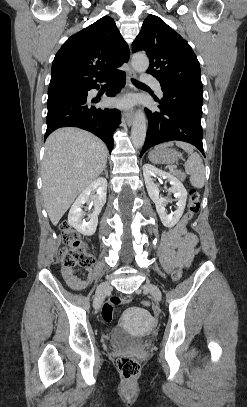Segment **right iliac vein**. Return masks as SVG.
<instances>
[{"label":"right iliac vein","mask_w":247,"mask_h":407,"mask_svg":"<svg viewBox=\"0 0 247 407\" xmlns=\"http://www.w3.org/2000/svg\"><path fill=\"white\" fill-rule=\"evenodd\" d=\"M111 285L108 282L100 283L96 290V296L94 299V308L99 309L103 303L106 294L111 290Z\"/></svg>","instance_id":"1"}]
</instances>
